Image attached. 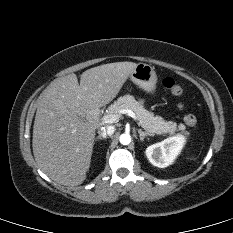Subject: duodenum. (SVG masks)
Masks as SVG:
<instances>
[{
  "mask_svg": "<svg viewBox=\"0 0 233 233\" xmlns=\"http://www.w3.org/2000/svg\"><path fill=\"white\" fill-rule=\"evenodd\" d=\"M88 117L93 122H95L96 119H97V116H96L95 112H90L89 115H88Z\"/></svg>",
  "mask_w": 233,
  "mask_h": 233,
  "instance_id": "obj_1",
  "label": "duodenum"
}]
</instances>
